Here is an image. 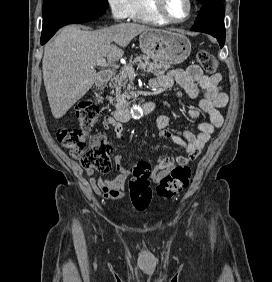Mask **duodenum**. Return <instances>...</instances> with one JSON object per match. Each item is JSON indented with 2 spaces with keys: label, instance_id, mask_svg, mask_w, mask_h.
Instances as JSON below:
<instances>
[{
  "label": "duodenum",
  "instance_id": "1",
  "mask_svg": "<svg viewBox=\"0 0 272 282\" xmlns=\"http://www.w3.org/2000/svg\"><path fill=\"white\" fill-rule=\"evenodd\" d=\"M112 77V73L110 71H103L98 75V79L101 83L108 82ZM156 82L155 79L150 81V84H154ZM131 103L128 99L122 100L119 103V107L113 112V117L117 120H125L127 117V112L130 110ZM142 106L146 109H154L156 104L153 101L146 102L142 104Z\"/></svg>",
  "mask_w": 272,
  "mask_h": 282
}]
</instances>
